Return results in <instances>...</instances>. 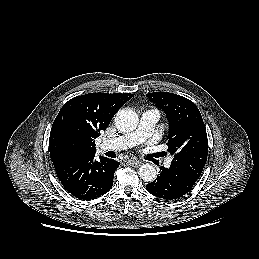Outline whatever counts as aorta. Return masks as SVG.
Here are the masks:
<instances>
[{
	"mask_svg": "<svg viewBox=\"0 0 259 259\" xmlns=\"http://www.w3.org/2000/svg\"><path fill=\"white\" fill-rule=\"evenodd\" d=\"M139 123L135 111L125 108L119 110L115 116V125L120 132H131ZM139 177L145 182H153L157 177L156 168L150 164H143L138 170Z\"/></svg>",
	"mask_w": 259,
	"mask_h": 259,
	"instance_id": "aorta-1",
	"label": "aorta"
}]
</instances>
